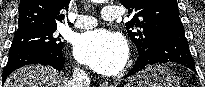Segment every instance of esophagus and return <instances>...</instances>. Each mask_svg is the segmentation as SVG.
I'll return each instance as SVG.
<instances>
[{
	"mask_svg": "<svg viewBox=\"0 0 205 87\" xmlns=\"http://www.w3.org/2000/svg\"><path fill=\"white\" fill-rule=\"evenodd\" d=\"M109 86H110V85H109L108 82H104V83L101 84V87H109Z\"/></svg>",
	"mask_w": 205,
	"mask_h": 87,
	"instance_id": "obj_1",
	"label": "esophagus"
}]
</instances>
